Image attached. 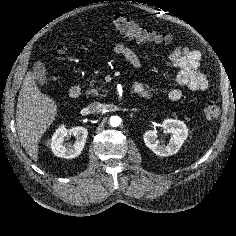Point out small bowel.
<instances>
[{"instance_id":"1","label":"small bowel","mask_w":236,"mask_h":236,"mask_svg":"<svg viewBox=\"0 0 236 236\" xmlns=\"http://www.w3.org/2000/svg\"><path fill=\"white\" fill-rule=\"evenodd\" d=\"M113 52L128 61L135 70L142 68L140 56L130 47L122 43H117L113 46ZM201 59V52L188 46L177 47L170 53L168 62L176 70L175 80L179 86L185 87L193 92H202L208 89L209 82L206 76L200 71ZM133 91L136 95L148 100L158 97L142 83L134 84ZM181 97L182 91L178 88L170 89L161 96L162 99L170 102L178 101Z\"/></svg>"}]
</instances>
